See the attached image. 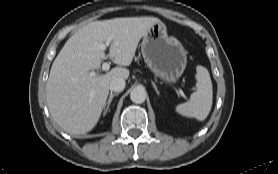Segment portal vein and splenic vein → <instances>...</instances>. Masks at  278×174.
I'll list each match as a JSON object with an SVG mask.
<instances>
[{
    "label": "portal vein and splenic vein",
    "instance_id": "1",
    "mask_svg": "<svg viewBox=\"0 0 278 174\" xmlns=\"http://www.w3.org/2000/svg\"><path fill=\"white\" fill-rule=\"evenodd\" d=\"M109 44H110L109 42H106L105 44H101V48H102V49H106V47L109 46ZM109 68H110V63L104 62V63L102 64V70H103V71H107V70H109ZM89 75L92 76V77H93V76H96V72L91 71V72H89ZM181 95H182V97L186 98V96H185L184 93H182Z\"/></svg>",
    "mask_w": 278,
    "mask_h": 174
}]
</instances>
